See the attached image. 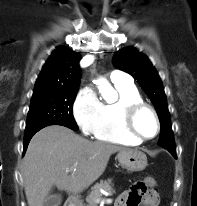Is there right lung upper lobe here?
<instances>
[{"mask_svg": "<svg viewBox=\"0 0 197 206\" xmlns=\"http://www.w3.org/2000/svg\"><path fill=\"white\" fill-rule=\"evenodd\" d=\"M81 55L60 46L45 63L35 83L34 91L78 89Z\"/></svg>", "mask_w": 197, "mask_h": 206, "instance_id": "cb5924a9", "label": "right lung upper lobe"}]
</instances>
